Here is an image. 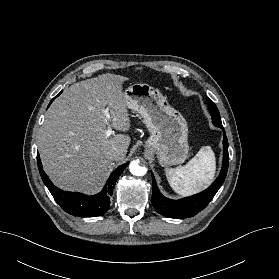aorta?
I'll list each match as a JSON object with an SVG mask.
<instances>
[{
  "label": "aorta",
  "instance_id": "1",
  "mask_svg": "<svg viewBox=\"0 0 279 279\" xmlns=\"http://www.w3.org/2000/svg\"><path fill=\"white\" fill-rule=\"evenodd\" d=\"M130 172L135 176H143L146 174L147 169L139 165L138 161H132L129 166Z\"/></svg>",
  "mask_w": 279,
  "mask_h": 279
}]
</instances>
